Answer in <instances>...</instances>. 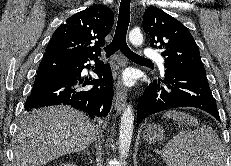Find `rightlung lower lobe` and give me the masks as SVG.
Listing matches in <instances>:
<instances>
[{"label":"right lung lower lobe","instance_id":"right-lung-lower-lobe-1","mask_svg":"<svg viewBox=\"0 0 231 166\" xmlns=\"http://www.w3.org/2000/svg\"><path fill=\"white\" fill-rule=\"evenodd\" d=\"M89 60L95 61L94 72L100 79L81 77L84 68L90 69V65L85 64ZM113 94L111 68L98 57L44 54L25 110L65 104L87 112L92 118L105 117L110 111Z\"/></svg>","mask_w":231,"mask_h":166}]
</instances>
